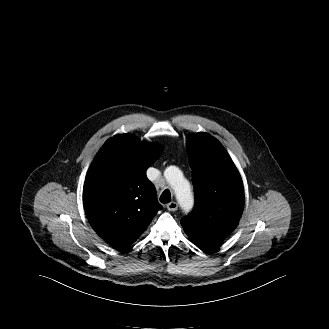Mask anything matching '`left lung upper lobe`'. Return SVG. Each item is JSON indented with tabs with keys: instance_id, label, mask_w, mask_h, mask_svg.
Here are the masks:
<instances>
[{
	"instance_id": "left-lung-upper-lobe-1",
	"label": "left lung upper lobe",
	"mask_w": 329,
	"mask_h": 329,
	"mask_svg": "<svg viewBox=\"0 0 329 329\" xmlns=\"http://www.w3.org/2000/svg\"><path fill=\"white\" fill-rule=\"evenodd\" d=\"M186 146L196 203L181 224L195 244L223 240L236 228L242 215V179L224 147L211 135L196 133Z\"/></svg>"
}]
</instances>
